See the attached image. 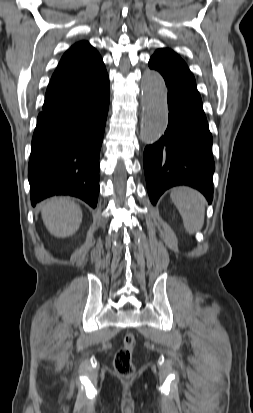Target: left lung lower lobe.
I'll list each match as a JSON object with an SVG mask.
<instances>
[{
  "mask_svg": "<svg viewBox=\"0 0 253 413\" xmlns=\"http://www.w3.org/2000/svg\"><path fill=\"white\" fill-rule=\"evenodd\" d=\"M149 67L168 88L169 120L165 134L146 146L143 165L153 205L165 190L188 185L213 199L212 135L193 74L187 66L151 57Z\"/></svg>",
  "mask_w": 253,
  "mask_h": 413,
  "instance_id": "0a47b994",
  "label": "left lung lower lobe"
}]
</instances>
